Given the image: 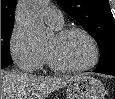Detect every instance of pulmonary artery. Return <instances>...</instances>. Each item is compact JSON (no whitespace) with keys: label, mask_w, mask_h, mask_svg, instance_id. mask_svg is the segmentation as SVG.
Wrapping results in <instances>:
<instances>
[{"label":"pulmonary artery","mask_w":115,"mask_h":99,"mask_svg":"<svg viewBox=\"0 0 115 99\" xmlns=\"http://www.w3.org/2000/svg\"><path fill=\"white\" fill-rule=\"evenodd\" d=\"M44 19L52 27L59 29L63 25V15L60 10L49 6L44 10Z\"/></svg>","instance_id":"obj_1"}]
</instances>
